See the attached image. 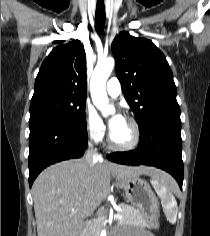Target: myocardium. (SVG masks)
Masks as SVG:
<instances>
[{"instance_id":"f54148a6","label":"myocardium","mask_w":210,"mask_h":236,"mask_svg":"<svg viewBox=\"0 0 210 236\" xmlns=\"http://www.w3.org/2000/svg\"><path fill=\"white\" fill-rule=\"evenodd\" d=\"M125 120L131 125V127L133 129L132 140L127 144H123V145L117 144L113 141L112 134L110 132L109 136H108V144H109L110 148H112L113 150L130 151V150L135 149L140 143L141 130H140V126H139L137 120L132 116H126Z\"/></svg>"}]
</instances>
